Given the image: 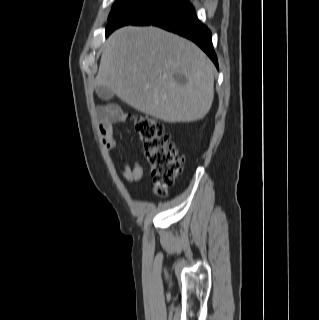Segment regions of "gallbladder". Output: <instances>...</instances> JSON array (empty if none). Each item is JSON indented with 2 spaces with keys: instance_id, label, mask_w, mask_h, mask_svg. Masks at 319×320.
<instances>
[{
  "instance_id": "gallbladder-1",
  "label": "gallbladder",
  "mask_w": 319,
  "mask_h": 320,
  "mask_svg": "<svg viewBox=\"0 0 319 320\" xmlns=\"http://www.w3.org/2000/svg\"><path fill=\"white\" fill-rule=\"evenodd\" d=\"M97 94L102 100H110L113 98L114 93L107 87L104 86H98L97 89Z\"/></svg>"
}]
</instances>
